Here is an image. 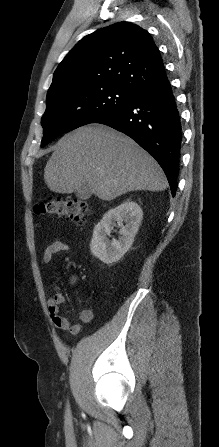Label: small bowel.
<instances>
[{"label":"small bowel","instance_id":"c3829d8e","mask_svg":"<svg viewBox=\"0 0 219 447\" xmlns=\"http://www.w3.org/2000/svg\"><path fill=\"white\" fill-rule=\"evenodd\" d=\"M69 250V244L62 240L56 239L44 249L42 262L47 264L52 260L55 254L68 252ZM54 290L55 293L48 298L47 304L50 318L57 328L70 331L72 333H77L81 330V323H89L93 320L94 312L88 307V300L84 302V308L80 311L79 314L81 323H74L63 316L60 311V305L64 303L65 297L63 293L60 292L57 286H54Z\"/></svg>","mask_w":219,"mask_h":447}]
</instances>
